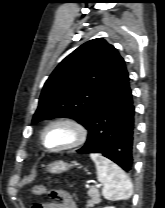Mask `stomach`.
I'll list each match as a JSON object with an SVG mask.
<instances>
[{
    "label": "stomach",
    "mask_w": 165,
    "mask_h": 208,
    "mask_svg": "<svg viewBox=\"0 0 165 208\" xmlns=\"http://www.w3.org/2000/svg\"><path fill=\"white\" fill-rule=\"evenodd\" d=\"M70 167H72V164L60 160L53 162L49 167V171L51 173H62L67 171Z\"/></svg>",
    "instance_id": "1"
}]
</instances>
